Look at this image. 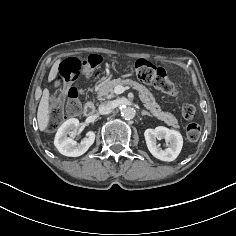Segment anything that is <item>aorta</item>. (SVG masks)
Segmentation results:
<instances>
[{
    "label": "aorta",
    "mask_w": 236,
    "mask_h": 236,
    "mask_svg": "<svg viewBox=\"0 0 236 236\" xmlns=\"http://www.w3.org/2000/svg\"><path fill=\"white\" fill-rule=\"evenodd\" d=\"M121 116L126 120L133 119L135 117V110L132 107H125L121 110Z\"/></svg>",
    "instance_id": "762f6f07"
}]
</instances>
